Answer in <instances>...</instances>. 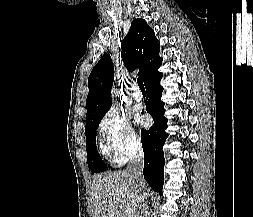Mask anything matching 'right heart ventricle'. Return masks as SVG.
<instances>
[{
    "instance_id": "right-heart-ventricle-1",
    "label": "right heart ventricle",
    "mask_w": 253,
    "mask_h": 217,
    "mask_svg": "<svg viewBox=\"0 0 253 217\" xmlns=\"http://www.w3.org/2000/svg\"><path fill=\"white\" fill-rule=\"evenodd\" d=\"M102 151H103V153L108 155L110 150L106 145H102Z\"/></svg>"
}]
</instances>
